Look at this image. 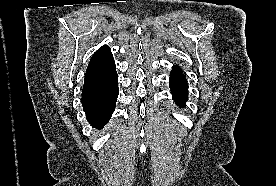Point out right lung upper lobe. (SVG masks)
I'll return each mask as SVG.
<instances>
[{"mask_svg":"<svg viewBox=\"0 0 276 186\" xmlns=\"http://www.w3.org/2000/svg\"><path fill=\"white\" fill-rule=\"evenodd\" d=\"M116 75V67L111 49L108 46H102L94 53L89 62L84 85L104 82Z\"/></svg>","mask_w":276,"mask_h":186,"instance_id":"cb5924a9","label":"right lung upper lobe"}]
</instances>
